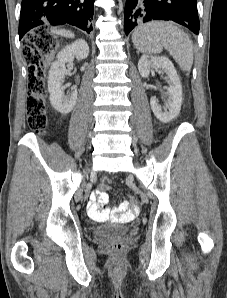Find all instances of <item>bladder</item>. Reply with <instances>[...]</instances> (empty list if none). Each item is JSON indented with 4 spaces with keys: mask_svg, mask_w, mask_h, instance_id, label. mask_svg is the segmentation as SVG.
Instances as JSON below:
<instances>
[{
    "mask_svg": "<svg viewBox=\"0 0 227 298\" xmlns=\"http://www.w3.org/2000/svg\"><path fill=\"white\" fill-rule=\"evenodd\" d=\"M129 227L120 224H104L93 229V234L102 238H113L125 235Z\"/></svg>",
    "mask_w": 227,
    "mask_h": 298,
    "instance_id": "obj_1",
    "label": "bladder"
}]
</instances>
